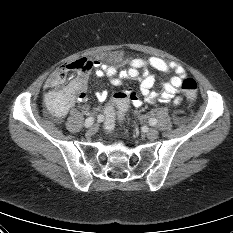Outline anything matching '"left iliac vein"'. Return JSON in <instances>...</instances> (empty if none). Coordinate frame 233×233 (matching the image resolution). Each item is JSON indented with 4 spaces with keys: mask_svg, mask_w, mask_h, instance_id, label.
Segmentation results:
<instances>
[{
    "mask_svg": "<svg viewBox=\"0 0 233 233\" xmlns=\"http://www.w3.org/2000/svg\"><path fill=\"white\" fill-rule=\"evenodd\" d=\"M159 135V132L155 128H150L146 131V136L150 140H155Z\"/></svg>",
    "mask_w": 233,
    "mask_h": 233,
    "instance_id": "1",
    "label": "left iliac vein"
}]
</instances>
